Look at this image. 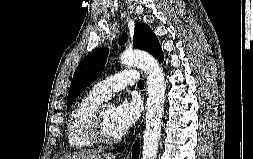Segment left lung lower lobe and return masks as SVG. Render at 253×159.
<instances>
[{"instance_id": "obj_1", "label": "left lung lower lobe", "mask_w": 253, "mask_h": 159, "mask_svg": "<svg viewBox=\"0 0 253 159\" xmlns=\"http://www.w3.org/2000/svg\"><path fill=\"white\" fill-rule=\"evenodd\" d=\"M123 149L124 147L117 148L118 151H121ZM138 155H139V142L137 141L132 148L133 159H138Z\"/></svg>"}]
</instances>
